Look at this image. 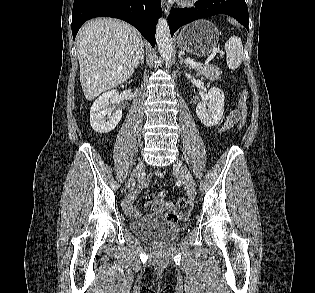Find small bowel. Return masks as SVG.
Segmentation results:
<instances>
[{
	"instance_id": "1",
	"label": "small bowel",
	"mask_w": 315,
	"mask_h": 293,
	"mask_svg": "<svg viewBox=\"0 0 315 293\" xmlns=\"http://www.w3.org/2000/svg\"><path fill=\"white\" fill-rule=\"evenodd\" d=\"M237 118H239L238 111H232L222 123L221 129L224 130L232 126L236 122ZM153 176L160 178L162 177V173L155 172ZM148 182H149V179H144L138 185V187L131 193L130 197L128 198L125 204V211L127 212V214L134 217L139 216L135 208V201L139 193L141 192V190L148 184ZM164 198H165V192H160L155 198H153L151 201L148 202V204L153 208L154 217H158L162 213L168 212V215H167L168 220H177V218H180L181 212L174 211L173 205L170 202L165 201Z\"/></svg>"
}]
</instances>
